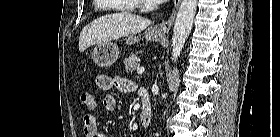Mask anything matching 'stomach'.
<instances>
[{"instance_id": "obj_1", "label": "stomach", "mask_w": 280, "mask_h": 137, "mask_svg": "<svg viewBox=\"0 0 280 137\" xmlns=\"http://www.w3.org/2000/svg\"><path fill=\"white\" fill-rule=\"evenodd\" d=\"M164 34L157 30L155 26L148 27L142 34H129L125 38L126 43L131 45L138 43L142 39L158 42ZM119 57L118 46L113 42L98 44L93 52L92 58L94 63L99 67H108L114 64Z\"/></svg>"}]
</instances>
